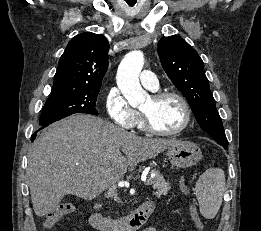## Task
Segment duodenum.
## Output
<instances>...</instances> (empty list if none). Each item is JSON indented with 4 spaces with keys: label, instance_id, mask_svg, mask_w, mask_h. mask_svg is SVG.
Masks as SVG:
<instances>
[{
    "label": "duodenum",
    "instance_id": "410a0bca",
    "mask_svg": "<svg viewBox=\"0 0 261 231\" xmlns=\"http://www.w3.org/2000/svg\"><path fill=\"white\" fill-rule=\"evenodd\" d=\"M153 207L152 202H144L131 215L120 220L93 213L90 217V224L100 231H136L148 219Z\"/></svg>",
    "mask_w": 261,
    "mask_h": 231
}]
</instances>
